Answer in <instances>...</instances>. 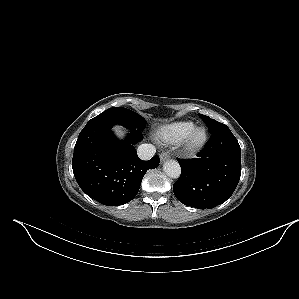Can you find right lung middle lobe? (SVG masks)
Instances as JSON below:
<instances>
[{"label": "right lung middle lobe", "mask_w": 299, "mask_h": 299, "mask_svg": "<svg viewBox=\"0 0 299 299\" xmlns=\"http://www.w3.org/2000/svg\"><path fill=\"white\" fill-rule=\"evenodd\" d=\"M103 113L112 114L117 117H120L121 119L129 122L131 125H133L134 127H136L137 129H140V130H143L146 125V121L144 120V118L142 116H140L139 114L135 113L134 111L126 109V108L113 107V108L107 109Z\"/></svg>", "instance_id": "dd1d6c3e"}]
</instances>
